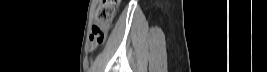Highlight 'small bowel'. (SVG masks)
I'll return each instance as SVG.
<instances>
[{
  "label": "small bowel",
  "instance_id": "c3829d8e",
  "mask_svg": "<svg viewBox=\"0 0 267 72\" xmlns=\"http://www.w3.org/2000/svg\"><path fill=\"white\" fill-rule=\"evenodd\" d=\"M96 47H97V45H94V44L90 43V41H89V44H88L89 50H94Z\"/></svg>",
  "mask_w": 267,
  "mask_h": 72
}]
</instances>
